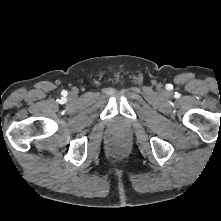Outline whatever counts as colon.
Instances as JSON below:
<instances>
[{
  "label": "colon",
  "mask_w": 221,
  "mask_h": 221,
  "mask_svg": "<svg viewBox=\"0 0 221 221\" xmlns=\"http://www.w3.org/2000/svg\"><path fill=\"white\" fill-rule=\"evenodd\" d=\"M124 149V145L122 143H116L113 145V151L119 152Z\"/></svg>",
  "instance_id": "1"
}]
</instances>
